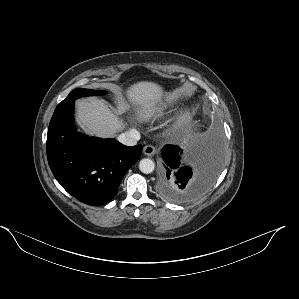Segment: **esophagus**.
<instances>
[{"label":"esophagus","instance_id":"1","mask_svg":"<svg viewBox=\"0 0 299 299\" xmlns=\"http://www.w3.org/2000/svg\"><path fill=\"white\" fill-rule=\"evenodd\" d=\"M156 148L152 145H146L144 148H143V153L146 155V156H153L155 153H156Z\"/></svg>","mask_w":299,"mask_h":299}]
</instances>
